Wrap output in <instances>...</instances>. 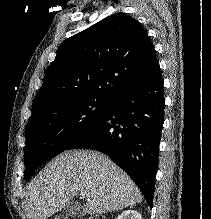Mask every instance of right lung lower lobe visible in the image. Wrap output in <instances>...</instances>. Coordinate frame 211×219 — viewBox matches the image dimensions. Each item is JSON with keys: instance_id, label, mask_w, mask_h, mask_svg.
Listing matches in <instances>:
<instances>
[{"instance_id": "1", "label": "right lung lower lobe", "mask_w": 211, "mask_h": 219, "mask_svg": "<svg viewBox=\"0 0 211 219\" xmlns=\"http://www.w3.org/2000/svg\"><path fill=\"white\" fill-rule=\"evenodd\" d=\"M164 107L157 65L146 79L114 97L103 117L67 150L84 148L108 155L137 184L152 208Z\"/></svg>"}]
</instances>
